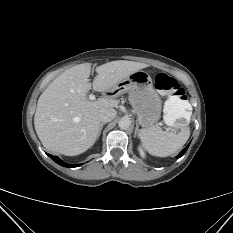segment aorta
Listing matches in <instances>:
<instances>
[{
  "mask_svg": "<svg viewBox=\"0 0 233 233\" xmlns=\"http://www.w3.org/2000/svg\"><path fill=\"white\" fill-rule=\"evenodd\" d=\"M130 125H131V120L127 116L122 117L118 122V126L121 129H128Z\"/></svg>",
  "mask_w": 233,
  "mask_h": 233,
  "instance_id": "aorta-1",
  "label": "aorta"
}]
</instances>
